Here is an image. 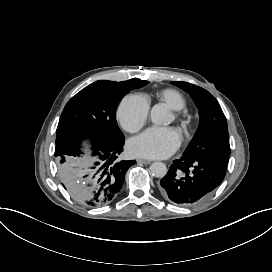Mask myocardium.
<instances>
[{"instance_id":"f54148a6","label":"myocardium","mask_w":272,"mask_h":272,"mask_svg":"<svg viewBox=\"0 0 272 272\" xmlns=\"http://www.w3.org/2000/svg\"><path fill=\"white\" fill-rule=\"evenodd\" d=\"M173 118L177 121H180L181 124H183L182 122V112L180 110L177 109H173Z\"/></svg>"}]
</instances>
